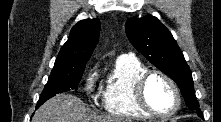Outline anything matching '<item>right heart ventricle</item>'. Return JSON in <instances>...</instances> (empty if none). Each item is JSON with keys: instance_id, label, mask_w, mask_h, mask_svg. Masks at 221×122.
<instances>
[{"instance_id": "1", "label": "right heart ventricle", "mask_w": 221, "mask_h": 122, "mask_svg": "<svg viewBox=\"0 0 221 122\" xmlns=\"http://www.w3.org/2000/svg\"><path fill=\"white\" fill-rule=\"evenodd\" d=\"M146 71V67L135 58L117 59L103 94L104 107L109 114L133 119L150 117L139 107L134 94L137 78Z\"/></svg>"}]
</instances>
